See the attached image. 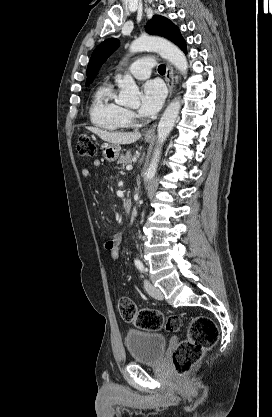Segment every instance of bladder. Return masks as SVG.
Here are the masks:
<instances>
[{
	"label": "bladder",
	"instance_id": "bladder-1",
	"mask_svg": "<svg viewBox=\"0 0 272 417\" xmlns=\"http://www.w3.org/2000/svg\"><path fill=\"white\" fill-rule=\"evenodd\" d=\"M125 345L135 363L157 364L164 356L167 338L159 333L129 330Z\"/></svg>",
	"mask_w": 272,
	"mask_h": 417
}]
</instances>
